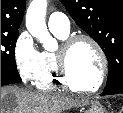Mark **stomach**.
<instances>
[{
  "mask_svg": "<svg viewBox=\"0 0 123 113\" xmlns=\"http://www.w3.org/2000/svg\"><path fill=\"white\" fill-rule=\"evenodd\" d=\"M85 113H106L104 107L97 101L90 103Z\"/></svg>",
  "mask_w": 123,
  "mask_h": 113,
  "instance_id": "obj_1",
  "label": "stomach"
}]
</instances>
